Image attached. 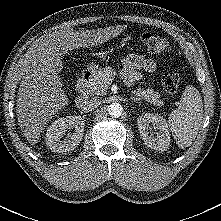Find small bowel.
<instances>
[{"label": "small bowel", "instance_id": "small-bowel-1", "mask_svg": "<svg viewBox=\"0 0 221 221\" xmlns=\"http://www.w3.org/2000/svg\"><path fill=\"white\" fill-rule=\"evenodd\" d=\"M122 74L128 84L141 80L142 71L153 73L157 70V63L151 59L141 55H128L122 59Z\"/></svg>", "mask_w": 221, "mask_h": 221}]
</instances>
